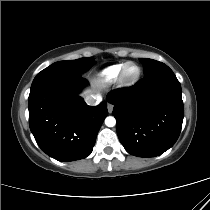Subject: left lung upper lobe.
Segmentation results:
<instances>
[{
	"label": "left lung upper lobe",
	"mask_w": 210,
	"mask_h": 210,
	"mask_svg": "<svg viewBox=\"0 0 210 210\" xmlns=\"http://www.w3.org/2000/svg\"><path fill=\"white\" fill-rule=\"evenodd\" d=\"M139 60L141 63H143V69H144L145 76H148L157 70L168 67L164 63L153 60V59L140 58Z\"/></svg>",
	"instance_id": "1"
}]
</instances>
